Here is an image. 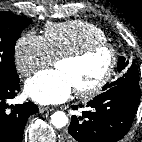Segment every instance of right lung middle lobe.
<instances>
[{
  "instance_id": "dd1d6c3e",
  "label": "right lung middle lobe",
  "mask_w": 142,
  "mask_h": 142,
  "mask_svg": "<svg viewBox=\"0 0 142 142\" xmlns=\"http://www.w3.org/2000/svg\"><path fill=\"white\" fill-rule=\"evenodd\" d=\"M31 20L0 12V85H7L19 79L14 62L16 40Z\"/></svg>"
}]
</instances>
